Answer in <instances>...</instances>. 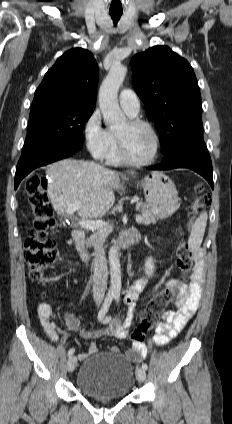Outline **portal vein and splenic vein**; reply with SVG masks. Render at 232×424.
Instances as JSON below:
<instances>
[{
	"mask_svg": "<svg viewBox=\"0 0 232 424\" xmlns=\"http://www.w3.org/2000/svg\"><path fill=\"white\" fill-rule=\"evenodd\" d=\"M81 203L80 202H76L73 203L71 205H69L66 209V212L68 214H72L73 212L77 211L80 207H81ZM142 218L140 216H136V222L139 223L141 222ZM78 224L80 225V227L84 228V229H97V230H103V229H107L108 224L105 221L102 220H85L82 219L81 221L78 222Z\"/></svg>",
	"mask_w": 232,
	"mask_h": 424,
	"instance_id": "portal-vein-and-splenic-vein-1",
	"label": "portal vein and splenic vein"
}]
</instances>
